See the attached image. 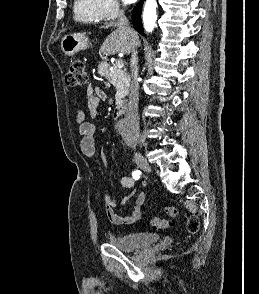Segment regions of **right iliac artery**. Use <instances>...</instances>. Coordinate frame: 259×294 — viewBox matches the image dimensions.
<instances>
[{
  "label": "right iliac artery",
  "mask_w": 259,
  "mask_h": 294,
  "mask_svg": "<svg viewBox=\"0 0 259 294\" xmlns=\"http://www.w3.org/2000/svg\"><path fill=\"white\" fill-rule=\"evenodd\" d=\"M132 176L135 180H138L141 176V172L139 170H135L133 171Z\"/></svg>",
  "instance_id": "obj_1"
}]
</instances>
